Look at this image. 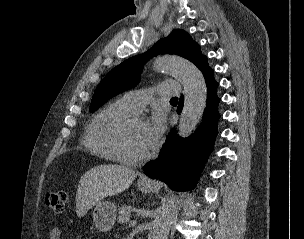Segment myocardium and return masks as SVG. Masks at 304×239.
I'll return each mask as SVG.
<instances>
[{"label": "myocardium", "instance_id": "1", "mask_svg": "<svg viewBox=\"0 0 304 239\" xmlns=\"http://www.w3.org/2000/svg\"><path fill=\"white\" fill-rule=\"evenodd\" d=\"M136 120H141L137 115H131L124 119L115 129L113 135V147L116 153V156L120 162L126 164H139L151 157V153L147 152L146 154L140 156H131L128 155L124 150V137L130 127L131 123Z\"/></svg>", "mask_w": 304, "mask_h": 239}]
</instances>
